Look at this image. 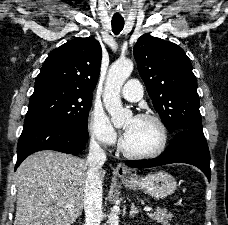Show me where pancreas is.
Returning a JSON list of instances; mask_svg holds the SVG:
<instances>
[{"label":"pancreas","instance_id":"obj_1","mask_svg":"<svg viewBox=\"0 0 228 225\" xmlns=\"http://www.w3.org/2000/svg\"><path fill=\"white\" fill-rule=\"evenodd\" d=\"M148 217L157 223H161V225H168L169 221H172L173 215L168 213L167 209H157L156 213H148Z\"/></svg>","mask_w":228,"mask_h":225}]
</instances>
